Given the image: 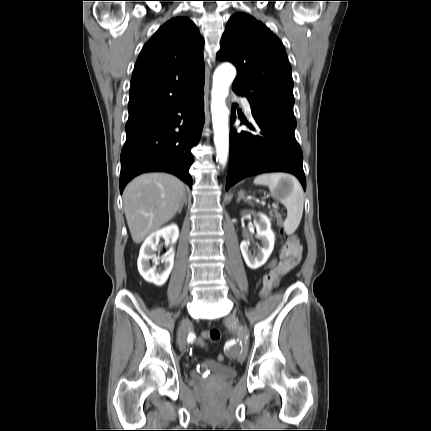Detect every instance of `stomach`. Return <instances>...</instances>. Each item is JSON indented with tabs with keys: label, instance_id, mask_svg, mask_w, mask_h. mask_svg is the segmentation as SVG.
Returning <instances> with one entry per match:
<instances>
[{
	"label": "stomach",
	"instance_id": "1",
	"mask_svg": "<svg viewBox=\"0 0 431 431\" xmlns=\"http://www.w3.org/2000/svg\"><path fill=\"white\" fill-rule=\"evenodd\" d=\"M292 183L289 180H282L279 184L278 189L272 190V194L277 201L284 202L286 196L292 190Z\"/></svg>",
	"mask_w": 431,
	"mask_h": 431
}]
</instances>
